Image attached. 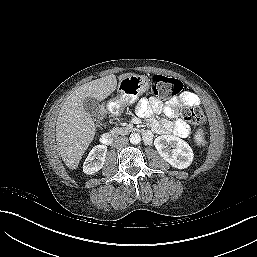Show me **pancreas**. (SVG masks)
<instances>
[{"mask_svg":"<svg viewBox=\"0 0 257 257\" xmlns=\"http://www.w3.org/2000/svg\"><path fill=\"white\" fill-rule=\"evenodd\" d=\"M132 131V128L130 127H116V128H113L110 133L113 135V136H118V135H126L128 134L129 132Z\"/></svg>","mask_w":257,"mask_h":257,"instance_id":"obj_1","label":"pancreas"}]
</instances>
